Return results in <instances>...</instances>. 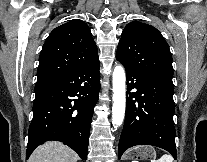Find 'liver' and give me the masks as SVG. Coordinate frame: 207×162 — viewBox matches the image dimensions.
<instances>
[{
	"label": "liver",
	"instance_id": "6515ba94",
	"mask_svg": "<svg viewBox=\"0 0 207 162\" xmlns=\"http://www.w3.org/2000/svg\"><path fill=\"white\" fill-rule=\"evenodd\" d=\"M78 159V155L65 144L49 141L37 147L28 162H77Z\"/></svg>",
	"mask_w": 207,
	"mask_h": 162
}]
</instances>
